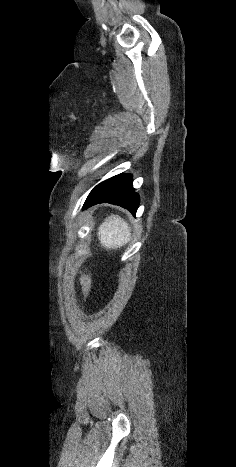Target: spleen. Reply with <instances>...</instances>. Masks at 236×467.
I'll return each instance as SVG.
<instances>
[{
	"label": "spleen",
	"instance_id": "3e777b00",
	"mask_svg": "<svg viewBox=\"0 0 236 467\" xmlns=\"http://www.w3.org/2000/svg\"><path fill=\"white\" fill-rule=\"evenodd\" d=\"M131 230L119 216L111 215L98 228V238L105 248L122 247L129 242Z\"/></svg>",
	"mask_w": 236,
	"mask_h": 467
}]
</instances>
